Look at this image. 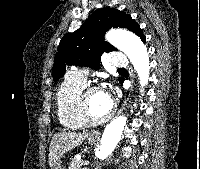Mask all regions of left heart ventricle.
Masks as SVG:
<instances>
[{
  "label": "left heart ventricle",
  "mask_w": 200,
  "mask_h": 169,
  "mask_svg": "<svg viewBox=\"0 0 200 169\" xmlns=\"http://www.w3.org/2000/svg\"><path fill=\"white\" fill-rule=\"evenodd\" d=\"M87 108L92 120H99L110 111L101 91H94L88 95Z\"/></svg>",
  "instance_id": "left-heart-ventricle-1"
}]
</instances>
